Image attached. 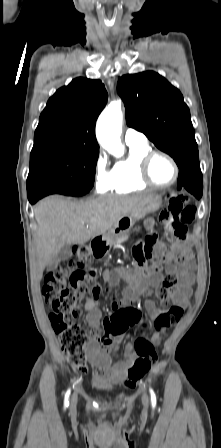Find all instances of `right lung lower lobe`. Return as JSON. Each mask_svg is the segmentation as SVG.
<instances>
[{"label": "right lung lower lobe", "mask_w": 221, "mask_h": 448, "mask_svg": "<svg viewBox=\"0 0 221 448\" xmlns=\"http://www.w3.org/2000/svg\"><path fill=\"white\" fill-rule=\"evenodd\" d=\"M90 189L86 190H72L61 186L59 184L49 181H38L31 184H27L28 199L31 204H35L39 199L49 194H63L68 196H82L88 193Z\"/></svg>", "instance_id": "1"}]
</instances>
